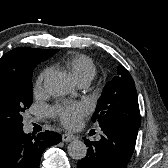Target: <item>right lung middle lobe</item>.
<instances>
[{"instance_id":"obj_1","label":"right lung middle lobe","mask_w":168,"mask_h":168,"mask_svg":"<svg viewBox=\"0 0 168 168\" xmlns=\"http://www.w3.org/2000/svg\"><path fill=\"white\" fill-rule=\"evenodd\" d=\"M18 74L11 85L0 91V133L9 129L23 127L22 112L32 104V70Z\"/></svg>"}]
</instances>
